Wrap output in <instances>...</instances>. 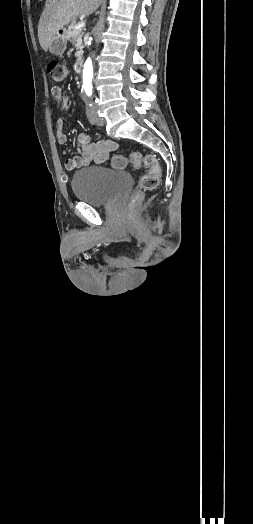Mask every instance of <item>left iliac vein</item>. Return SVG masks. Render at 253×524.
Segmentation results:
<instances>
[{
  "mask_svg": "<svg viewBox=\"0 0 253 524\" xmlns=\"http://www.w3.org/2000/svg\"><path fill=\"white\" fill-rule=\"evenodd\" d=\"M92 109H93V112H94V115H95V119H96V123H97V125L102 126V125L104 124V120H103V118H101V117L98 115V113H97V107H96L95 105H93Z\"/></svg>",
  "mask_w": 253,
  "mask_h": 524,
  "instance_id": "1",
  "label": "left iliac vein"
}]
</instances>
